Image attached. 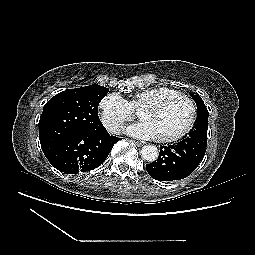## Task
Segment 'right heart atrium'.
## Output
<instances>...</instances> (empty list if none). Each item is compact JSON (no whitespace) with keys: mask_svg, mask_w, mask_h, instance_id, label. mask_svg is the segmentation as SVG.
<instances>
[{"mask_svg":"<svg viewBox=\"0 0 255 255\" xmlns=\"http://www.w3.org/2000/svg\"><path fill=\"white\" fill-rule=\"evenodd\" d=\"M101 120L107 130L118 133L125 122L135 117L128 101L117 93L106 95L100 102Z\"/></svg>","mask_w":255,"mask_h":255,"instance_id":"1","label":"right heart atrium"}]
</instances>
